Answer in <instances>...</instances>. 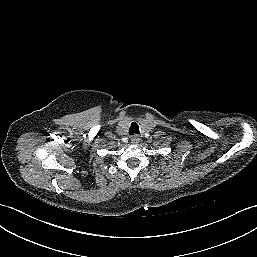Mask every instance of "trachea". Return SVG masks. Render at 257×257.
<instances>
[{
	"label": "trachea",
	"mask_w": 257,
	"mask_h": 257,
	"mask_svg": "<svg viewBox=\"0 0 257 257\" xmlns=\"http://www.w3.org/2000/svg\"><path fill=\"white\" fill-rule=\"evenodd\" d=\"M139 126L137 123L133 122L131 123V126L129 128V135H133V134H139Z\"/></svg>",
	"instance_id": "obj_1"
}]
</instances>
